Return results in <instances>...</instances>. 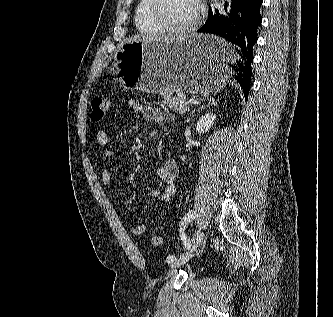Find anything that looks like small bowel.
Returning a JSON list of instances; mask_svg holds the SVG:
<instances>
[{"instance_id": "c3829d8e", "label": "small bowel", "mask_w": 333, "mask_h": 317, "mask_svg": "<svg viewBox=\"0 0 333 317\" xmlns=\"http://www.w3.org/2000/svg\"><path fill=\"white\" fill-rule=\"evenodd\" d=\"M130 110L140 112L143 116L154 122L166 123L168 122L167 115L159 108L150 105H144L136 99H130L127 102ZM96 142L99 146L106 148L104 156L106 158L112 157L115 152L110 148L111 140L108 132L105 129H100L96 133ZM158 177L163 183L162 190L151 189L149 196L151 198H158L162 204H168L176 194V180L178 177V168L176 161L173 159L165 160L156 170ZM113 178V170L107 167L102 172V182L105 186H110ZM147 225L139 224L132 226L130 232L134 235H142L146 232Z\"/></svg>"}]
</instances>
